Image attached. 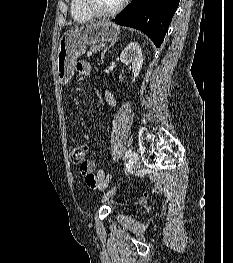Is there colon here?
<instances>
[{
  "instance_id": "1",
  "label": "colon",
  "mask_w": 233,
  "mask_h": 263,
  "mask_svg": "<svg viewBox=\"0 0 233 263\" xmlns=\"http://www.w3.org/2000/svg\"><path fill=\"white\" fill-rule=\"evenodd\" d=\"M86 152H87V147L85 145H74L70 149V159L72 163L79 165L80 168H85L86 166ZM85 178L86 181L89 185H94L96 183V177L88 172H85ZM104 180L107 182L108 176L104 174ZM150 194L145 192L143 195L138 197L135 200V203L141 204L144 203L148 198Z\"/></svg>"
}]
</instances>
